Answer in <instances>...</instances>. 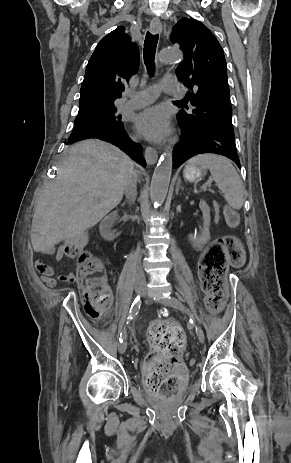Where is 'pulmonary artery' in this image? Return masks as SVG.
Wrapping results in <instances>:
<instances>
[{
    "instance_id": "obj_1",
    "label": "pulmonary artery",
    "mask_w": 291,
    "mask_h": 463,
    "mask_svg": "<svg viewBox=\"0 0 291 463\" xmlns=\"http://www.w3.org/2000/svg\"><path fill=\"white\" fill-rule=\"evenodd\" d=\"M181 85L175 77L165 76L163 77L160 85H151L143 90L128 94L130 99L124 104L127 109H136L148 105L156 100L159 95L160 89L166 94L183 97L184 92L180 89Z\"/></svg>"
}]
</instances>
